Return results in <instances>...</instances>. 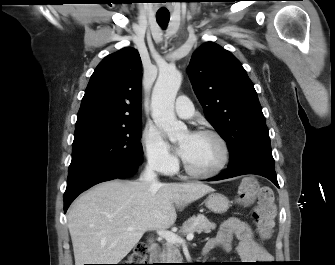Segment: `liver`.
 Masks as SVG:
<instances>
[{"instance_id":"obj_1","label":"liver","mask_w":335,"mask_h":265,"mask_svg":"<svg viewBox=\"0 0 335 265\" xmlns=\"http://www.w3.org/2000/svg\"><path fill=\"white\" fill-rule=\"evenodd\" d=\"M212 191L203 183L152 186L113 180L96 185L68 211L75 265L118 264L146 231L171 227L175 207L182 209Z\"/></svg>"}]
</instances>
